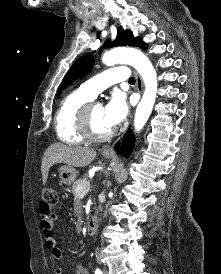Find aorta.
<instances>
[{
    "label": "aorta",
    "mask_w": 221,
    "mask_h": 274,
    "mask_svg": "<svg viewBox=\"0 0 221 274\" xmlns=\"http://www.w3.org/2000/svg\"><path fill=\"white\" fill-rule=\"evenodd\" d=\"M102 61L108 66L117 63L130 64L141 75L145 90L134 116L135 131H140L146 124L156 100L158 84L153 65L141 51L133 48L113 49L103 55Z\"/></svg>",
    "instance_id": "aorta-1"
}]
</instances>
